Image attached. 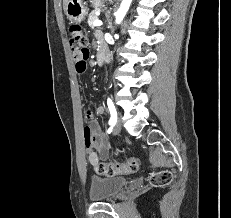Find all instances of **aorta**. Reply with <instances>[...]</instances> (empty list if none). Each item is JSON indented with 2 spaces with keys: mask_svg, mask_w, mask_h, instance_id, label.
Here are the masks:
<instances>
[{
  "mask_svg": "<svg viewBox=\"0 0 231 218\" xmlns=\"http://www.w3.org/2000/svg\"><path fill=\"white\" fill-rule=\"evenodd\" d=\"M132 0H122L121 6L116 13V23L119 24L123 20L124 16L126 15Z\"/></svg>",
  "mask_w": 231,
  "mask_h": 218,
  "instance_id": "1",
  "label": "aorta"
}]
</instances>
